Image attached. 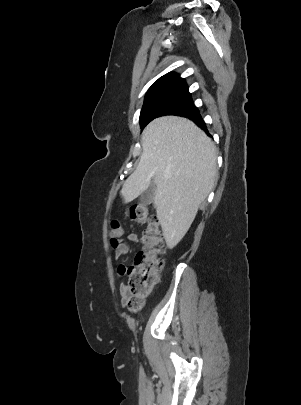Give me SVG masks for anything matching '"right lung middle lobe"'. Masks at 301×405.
Returning <instances> with one entry per match:
<instances>
[{"label": "right lung middle lobe", "mask_w": 301, "mask_h": 405, "mask_svg": "<svg viewBox=\"0 0 301 405\" xmlns=\"http://www.w3.org/2000/svg\"><path fill=\"white\" fill-rule=\"evenodd\" d=\"M196 109L186 89L160 93L145 99L140 126L143 129L150 121L163 115H181Z\"/></svg>", "instance_id": "dd1d6c3e"}]
</instances>
